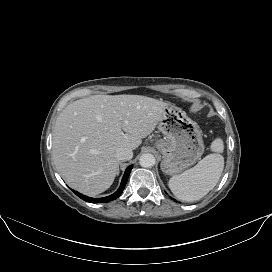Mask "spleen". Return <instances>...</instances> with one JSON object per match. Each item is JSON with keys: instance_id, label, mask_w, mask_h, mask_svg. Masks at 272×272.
I'll list each match as a JSON object with an SVG mask.
<instances>
[{"instance_id": "1", "label": "spleen", "mask_w": 272, "mask_h": 272, "mask_svg": "<svg viewBox=\"0 0 272 272\" xmlns=\"http://www.w3.org/2000/svg\"><path fill=\"white\" fill-rule=\"evenodd\" d=\"M211 150L215 153L207 155L193 168L169 180V188L179 200H199L217 184L224 169V158L220 154L224 150L221 138L212 142Z\"/></svg>"}]
</instances>
